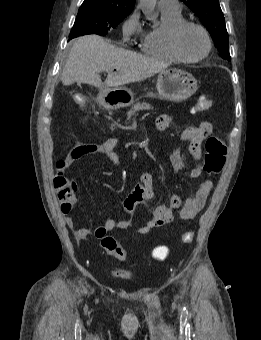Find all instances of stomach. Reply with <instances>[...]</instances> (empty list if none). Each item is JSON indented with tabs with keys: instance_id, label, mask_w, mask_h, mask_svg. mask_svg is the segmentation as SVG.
Here are the masks:
<instances>
[{
	"instance_id": "1",
	"label": "stomach",
	"mask_w": 261,
	"mask_h": 340,
	"mask_svg": "<svg viewBox=\"0 0 261 340\" xmlns=\"http://www.w3.org/2000/svg\"><path fill=\"white\" fill-rule=\"evenodd\" d=\"M156 88L161 99L182 102L198 89L195 77L183 70L170 68L161 71ZM136 101L135 93L127 87L104 88L98 95L99 104L107 110H116Z\"/></svg>"
}]
</instances>
